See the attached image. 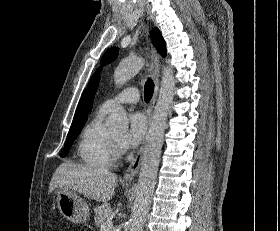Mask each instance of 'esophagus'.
I'll return each instance as SVG.
<instances>
[{
  "mask_svg": "<svg viewBox=\"0 0 280 231\" xmlns=\"http://www.w3.org/2000/svg\"><path fill=\"white\" fill-rule=\"evenodd\" d=\"M152 51V64H151V75L154 80V93L149 105V111H148V121L150 122L153 114V109L156 103V98L158 96V91L160 88V81H159V69H160V59L159 55L157 53V50L155 47L152 46L151 48ZM143 151H144V143L142 144L141 148L138 150L135 158L131 161L129 164L124 176H123V181H132L134 178L137 176L140 166H141V161L143 157Z\"/></svg>",
  "mask_w": 280,
  "mask_h": 231,
  "instance_id": "34e87169",
  "label": "esophagus"
}]
</instances>
